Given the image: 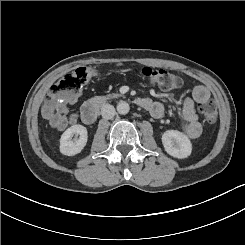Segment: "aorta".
Returning a JSON list of instances; mask_svg holds the SVG:
<instances>
[{
    "instance_id": "aorta-1",
    "label": "aorta",
    "mask_w": 245,
    "mask_h": 245,
    "mask_svg": "<svg viewBox=\"0 0 245 245\" xmlns=\"http://www.w3.org/2000/svg\"><path fill=\"white\" fill-rule=\"evenodd\" d=\"M130 111V106L126 101H120L117 104V112L121 115H125Z\"/></svg>"
}]
</instances>
